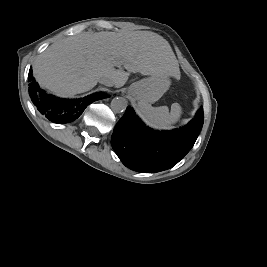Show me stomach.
<instances>
[{
  "label": "stomach",
  "instance_id": "0dacf381",
  "mask_svg": "<svg viewBox=\"0 0 267 267\" xmlns=\"http://www.w3.org/2000/svg\"><path fill=\"white\" fill-rule=\"evenodd\" d=\"M168 77L152 75L133 83L128 90L129 95L146 104L158 101L168 90Z\"/></svg>",
  "mask_w": 267,
  "mask_h": 267
}]
</instances>
